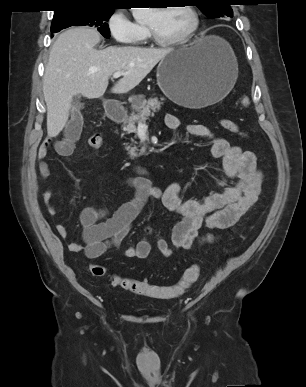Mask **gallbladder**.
Instances as JSON below:
<instances>
[{"instance_id":"gallbladder-1","label":"gallbladder","mask_w":306,"mask_h":387,"mask_svg":"<svg viewBox=\"0 0 306 387\" xmlns=\"http://www.w3.org/2000/svg\"><path fill=\"white\" fill-rule=\"evenodd\" d=\"M80 95H75L72 100V105L78 107L80 105Z\"/></svg>"}]
</instances>
